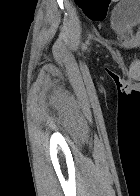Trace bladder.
I'll use <instances>...</instances> for the list:
<instances>
[{
	"mask_svg": "<svg viewBox=\"0 0 140 196\" xmlns=\"http://www.w3.org/2000/svg\"><path fill=\"white\" fill-rule=\"evenodd\" d=\"M112 31L118 38H128L140 29V0H122L111 15Z\"/></svg>",
	"mask_w": 140,
	"mask_h": 196,
	"instance_id": "31cf9c89",
	"label": "bladder"
}]
</instances>
